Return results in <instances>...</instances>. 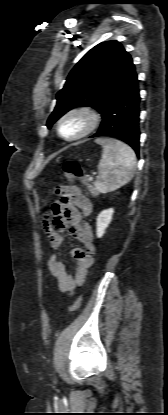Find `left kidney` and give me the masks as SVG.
I'll list each match as a JSON object with an SVG mask.
<instances>
[{
    "label": "left kidney",
    "mask_w": 168,
    "mask_h": 415,
    "mask_svg": "<svg viewBox=\"0 0 168 415\" xmlns=\"http://www.w3.org/2000/svg\"><path fill=\"white\" fill-rule=\"evenodd\" d=\"M114 210L112 208L103 210L97 217V237L104 235L106 228L109 226Z\"/></svg>",
    "instance_id": "1"
}]
</instances>
